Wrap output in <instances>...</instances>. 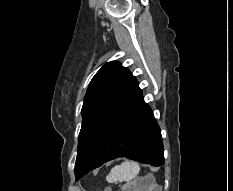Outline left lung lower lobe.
Returning a JSON list of instances; mask_svg holds the SVG:
<instances>
[{
	"label": "left lung lower lobe",
	"instance_id": "obj_1",
	"mask_svg": "<svg viewBox=\"0 0 233 191\" xmlns=\"http://www.w3.org/2000/svg\"><path fill=\"white\" fill-rule=\"evenodd\" d=\"M118 157L159 166L164 162L160 128L139 86L106 126L88 158L75 174H84Z\"/></svg>",
	"mask_w": 233,
	"mask_h": 191
}]
</instances>
